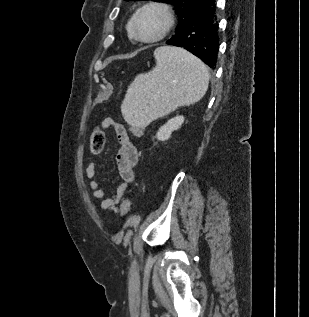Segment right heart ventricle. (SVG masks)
<instances>
[{"instance_id": "obj_1", "label": "right heart ventricle", "mask_w": 309, "mask_h": 317, "mask_svg": "<svg viewBox=\"0 0 309 317\" xmlns=\"http://www.w3.org/2000/svg\"><path fill=\"white\" fill-rule=\"evenodd\" d=\"M127 31H128L129 37H133V34H132V18L127 23Z\"/></svg>"}]
</instances>
